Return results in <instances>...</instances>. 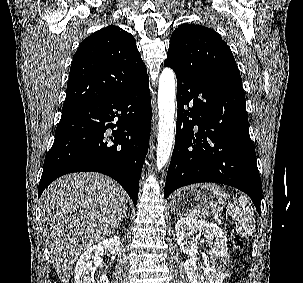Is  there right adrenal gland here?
I'll use <instances>...</instances> for the list:
<instances>
[{"mask_svg": "<svg viewBox=\"0 0 303 283\" xmlns=\"http://www.w3.org/2000/svg\"><path fill=\"white\" fill-rule=\"evenodd\" d=\"M127 219L128 218V216H127V208L125 209V211H124V213H123V215L121 216V218L119 219V223H121L122 222V220L123 219ZM119 225V224H118Z\"/></svg>", "mask_w": 303, "mask_h": 283, "instance_id": "right-adrenal-gland-1", "label": "right adrenal gland"}]
</instances>
